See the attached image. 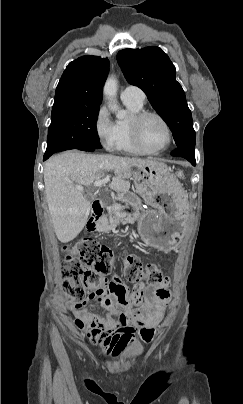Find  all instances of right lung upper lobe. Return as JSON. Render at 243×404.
Wrapping results in <instances>:
<instances>
[{
  "label": "right lung upper lobe",
  "instance_id": "obj_1",
  "mask_svg": "<svg viewBox=\"0 0 243 404\" xmlns=\"http://www.w3.org/2000/svg\"><path fill=\"white\" fill-rule=\"evenodd\" d=\"M108 72V59L98 56H83L69 63L57 85L53 108L66 105L99 106Z\"/></svg>",
  "mask_w": 243,
  "mask_h": 404
}]
</instances>
